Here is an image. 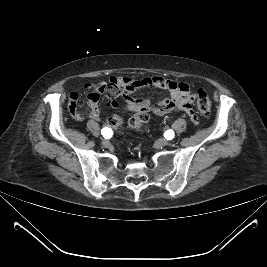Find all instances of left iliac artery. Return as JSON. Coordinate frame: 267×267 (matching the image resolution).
Segmentation results:
<instances>
[{
    "label": "left iliac artery",
    "instance_id": "44dca946",
    "mask_svg": "<svg viewBox=\"0 0 267 267\" xmlns=\"http://www.w3.org/2000/svg\"><path fill=\"white\" fill-rule=\"evenodd\" d=\"M165 135L167 139L171 140L174 137V132L173 130H168L166 131Z\"/></svg>",
    "mask_w": 267,
    "mask_h": 267
}]
</instances>
